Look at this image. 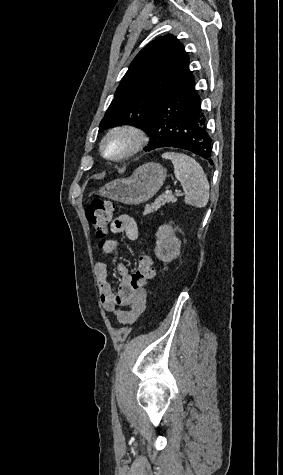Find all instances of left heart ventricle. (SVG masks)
<instances>
[{
    "mask_svg": "<svg viewBox=\"0 0 283 475\" xmlns=\"http://www.w3.org/2000/svg\"><path fill=\"white\" fill-rule=\"evenodd\" d=\"M127 140L123 137H117L109 140L105 146V150L109 155H117L125 150Z\"/></svg>",
    "mask_w": 283,
    "mask_h": 475,
    "instance_id": "1",
    "label": "left heart ventricle"
}]
</instances>
